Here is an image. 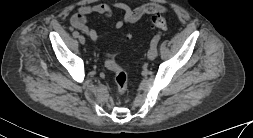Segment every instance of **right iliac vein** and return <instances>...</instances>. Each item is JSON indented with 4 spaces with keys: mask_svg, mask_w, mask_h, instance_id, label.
<instances>
[{
    "mask_svg": "<svg viewBox=\"0 0 253 138\" xmlns=\"http://www.w3.org/2000/svg\"><path fill=\"white\" fill-rule=\"evenodd\" d=\"M79 42L81 44H85V38H84V36H82V35L79 36Z\"/></svg>",
    "mask_w": 253,
    "mask_h": 138,
    "instance_id": "obj_1",
    "label": "right iliac vein"
}]
</instances>
